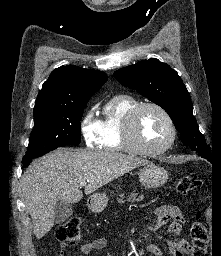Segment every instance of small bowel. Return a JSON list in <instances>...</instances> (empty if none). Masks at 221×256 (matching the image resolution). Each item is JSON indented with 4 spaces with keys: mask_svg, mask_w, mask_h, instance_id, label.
<instances>
[{
    "mask_svg": "<svg viewBox=\"0 0 221 256\" xmlns=\"http://www.w3.org/2000/svg\"><path fill=\"white\" fill-rule=\"evenodd\" d=\"M155 219L149 226L150 230H157L164 225L169 224L168 231L172 235H179L182 230V223L184 218L180 210L172 205H164L158 207L154 211ZM108 242L106 238L99 237L89 242L84 243L80 247L81 254H90L91 252L102 250L107 246ZM170 252L173 256H185L189 253L191 247L185 239L170 240L168 242ZM147 251L152 256H162L161 249L156 244H149ZM109 256H114L110 254Z\"/></svg>",
    "mask_w": 221,
    "mask_h": 256,
    "instance_id": "obj_1",
    "label": "small bowel"
}]
</instances>
